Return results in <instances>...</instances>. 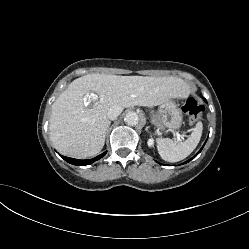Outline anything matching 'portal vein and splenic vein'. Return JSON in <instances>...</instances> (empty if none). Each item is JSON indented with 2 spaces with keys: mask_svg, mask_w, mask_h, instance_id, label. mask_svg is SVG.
I'll use <instances>...</instances> for the list:
<instances>
[{
  "mask_svg": "<svg viewBox=\"0 0 249 249\" xmlns=\"http://www.w3.org/2000/svg\"><path fill=\"white\" fill-rule=\"evenodd\" d=\"M180 137H181V136L178 134V135H177V140H178V141H181V138H180Z\"/></svg>",
  "mask_w": 249,
  "mask_h": 249,
  "instance_id": "obj_1",
  "label": "portal vein and splenic vein"
}]
</instances>
